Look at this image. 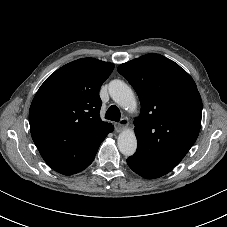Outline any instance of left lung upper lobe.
I'll return each mask as SVG.
<instances>
[{
  "label": "left lung upper lobe",
  "instance_id": "5c2ea615",
  "mask_svg": "<svg viewBox=\"0 0 227 227\" xmlns=\"http://www.w3.org/2000/svg\"><path fill=\"white\" fill-rule=\"evenodd\" d=\"M135 88L141 113L135 118V155L175 167L196 141L202 100L192 77L174 61L150 53L118 66Z\"/></svg>",
  "mask_w": 227,
  "mask_h": 227
}]
</instances>
